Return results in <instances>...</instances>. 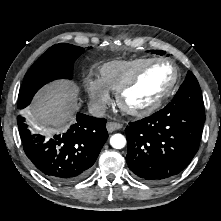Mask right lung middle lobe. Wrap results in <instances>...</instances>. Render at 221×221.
Wrapping results in <instances>:
<instances>
[{
    "instance_id": "1",
    "label": "right lung middle lobe",
    "mask_w": 221,
    "mask_h": 221,
    "mask_svg": "<svg viewBox=\"0 0 221 221\" xmlns=\"http://www.w3.org/2000/svg\"><path fill=\"white\" fill-rule=\"evenodd\" d=\"M83 52L84 48L67 43L50 47L26 73L19 91L18 109L26 107L46 83L55 79H71L73 63Z\"/></svg>"
}]
</instances>
